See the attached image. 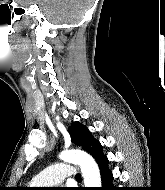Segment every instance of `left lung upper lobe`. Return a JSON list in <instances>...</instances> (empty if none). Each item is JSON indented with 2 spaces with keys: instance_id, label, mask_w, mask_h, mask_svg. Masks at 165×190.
Segmentation results:
<instances>
[{
  "instance_id": "left-lung-upper-lobe-1",
  "label": "left lung upper lobe",
  "mask_w": 165,
  "mask_h": 190,
  "mask_svg": "<svg viewBox=\"0 0 165 190\" xmlns=\"http://www.w3.org/2000/svg\"><path fill=\"white\" fill-rule=\"evenodd\" d=\"M68 132L71 136L72 142L82 146L96 161L104 157L100 142L92 137L91 132L84 125H81L78 122H73L68 129Z\"/></svg>"
}]
</instances>
